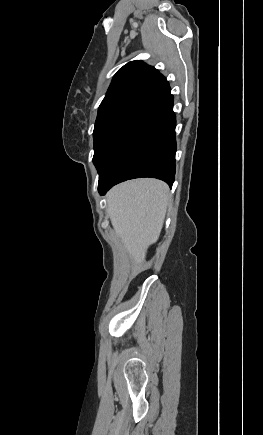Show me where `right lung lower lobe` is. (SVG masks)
Masks as SVG:
<instances>
[{"label": "right lung lower lobe", "instance_id": "98d812e1", "mask_svg": "<svg viewBox=\"0 0 263 435\" xmlns=\"http://www.w3.org/2000/svg\"><path fill=\"white\" fill-rule=\"evenodd\" d=\"M170 87L148 101L130 122L107 164L99 173L105 194L127 179L153 177L171 187L175 176V126Z\"/></svg>", "mask_w": 263, "mask_h": 435}]
</instances>
